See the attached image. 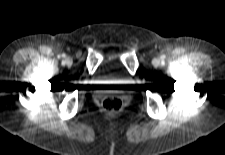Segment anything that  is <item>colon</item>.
Here are the masks:
<instances>
[{
    "label": "colon",
    "mask_w": 225,
    "mask_h": 155,
    "mask_svg": "<svg viewBox=\"0 0 225 155\" xmlns=\"http://www.w3.org/2000/svg\"><path fill=\"white\" fill-rule=\"evenodd\" d=\"M101 106L107 112H119L123 108V100L120 96L109 95L101 100Z\"/></svg>",
    "instance_id": "obj_1"
}]
</instances>
